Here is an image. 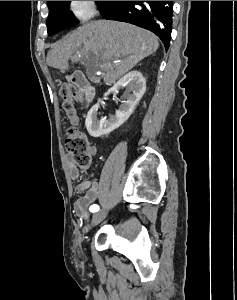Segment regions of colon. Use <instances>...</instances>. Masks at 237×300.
<instances>
[{"instance_id": "1", "label": "colon", "mask_w": 237, "mask_h": 300, "mask_svg": "<svg viewBox=\"0 0 237 300\" xmlns=\"http://www.w3.org/2000/svg\"><path fill=\"white\" fill-rule=\"evenodd\" d=\"M60 95L63 99V108L66 114L70 119L76 117L74 106L75 89L69 84L63 85L60 89ZM65 147L80 168L87 169L90 166L89 142L85 134L75 129V127H70L65 140Z\"/></svg>"}]
</instances>
